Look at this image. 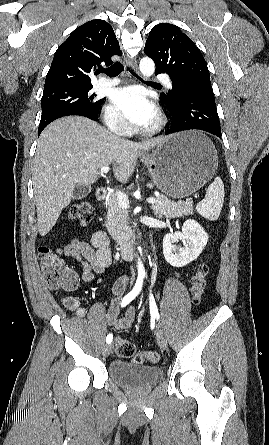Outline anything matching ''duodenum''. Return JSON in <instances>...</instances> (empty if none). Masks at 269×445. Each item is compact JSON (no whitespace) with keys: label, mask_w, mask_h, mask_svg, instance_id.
I'll return each instance as SVG.
<instances>
[{"label":"duodenum","mask_w":269,"mask_h":445,"mask_svg":"<svg viewBox=\"0 0 269 445\" xmlns=\"http://www.w3.org/2000/svg\"><path fill=\"white\" fill-rule=\"evenodd\" d=\"M96 197L99 201H104L108 197V192L104 188H98ZM121 256L125 259H132L136 256L138 243L130 241H121L118 246Z\"/></svg>","instance_id":"410a0bca"}]
</instances>
